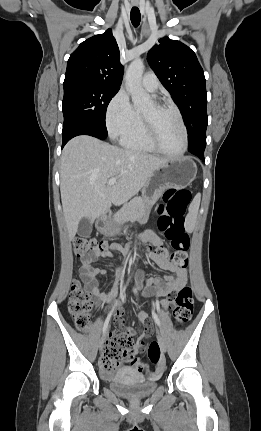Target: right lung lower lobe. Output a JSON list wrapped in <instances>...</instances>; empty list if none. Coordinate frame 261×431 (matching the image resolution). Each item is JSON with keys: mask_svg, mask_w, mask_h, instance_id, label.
I'll return each instance as SVG.
<instances>
[{"mask_svg": "<svg viewBox=\"0 0 261 431\" xmlns=\"http://www.w3.org/2000/svg\"><path fill=\"white\" fill-rule=\"evenodd\" d=\"M84 133H86V130L78 123L72 122L69 124H64L62 132V148L71 138Z\"/></svg>", "mask_w": 261, "mask_h": 431, "instance_id": "98d812e1", "label": "right lung lower lobe"}]
</instances>
